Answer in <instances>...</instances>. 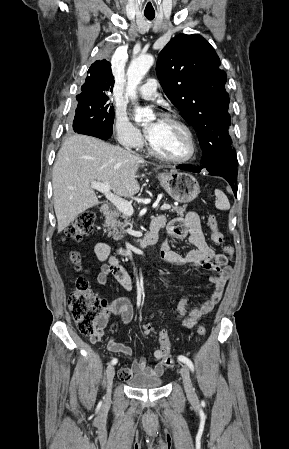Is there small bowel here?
I'll list each match as a JSON object with an SVG mask.
<instances>
[{
	"label": "small bowel",
	"instance_id": "c3829d8e",
	"mask_svg": "<svg viewBox=\"0 0 289 449\" xmlns=\"http://www.w3.org/2000/svg\"><path fill=\"white\" fill-rule=\"evenodd\" d=\"M152 224H159L161 227L165 225V219L162 216L156 217ZM168 238L162 244L160 256L161 258L175 266H191L200 267L217 273L211 277L213 291L210 298L200 307L187 312V299L183 298L179 301L177 311L180 317H183L182 326L185 329L193 328L199 319L210 313L220 301L224 287L232 275V267L228 265L226 256L216 254L214 250L207 244L201 228L199 216L194 212H189L184 218L174 219L167 224ZM188 237L189 245L194 249L187 254L181 255L171 246L172 240H179ZM95 254L97 258L103 262L99 273L96 276V282L99 286H104L110 276L114 277L126 290L132 289V280L127 271L122 267L119 260L110 254L109 248L105 243H98L95 246ZM121 317L122 325L129 324L134 317V309L127 298H118L105 305L100 327L97 333L90 337L92 343L99 342L104 334L106 325L111 324L112 316ZM107 348L114 353L122 354L127 358L131 366L122 368L119 376L122 380L127 381L135 374L143 373L148 375L160 376L163 374L167 365L164 363L162 354L159 349L155 350L153 357L159 361L156 365L150 366L145 358L133 359L132 349L114 338H110L107 342Z\"/></svg>",
	"mask_w": 289,
	"mask_h": 449
}]
</instances>
